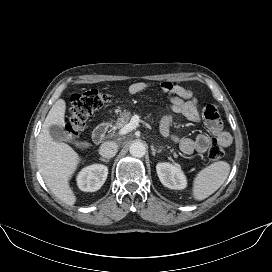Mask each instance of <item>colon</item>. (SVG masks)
<instances>
[{
    "mask_svg": "<svg viewBox=\"0 0 272 272\" xmlns=\"http://www.w3.org/2000/svg\"><path fill=\"white\" fill-rule=\"evenodd\" d=\"M110 101V96L96 89L88 90L81 94H74L71 97V108L68 121L65 126L68 140L75 139L84 129L87 120L91 115L102 108ZM224 156L222 146L213 140L208 150V157L211 161H220Z\"/></svg>",
    "mask_w": 272,
    "mask_h": 272,
    "instance_id": "colon-1",
    "label": "colon"
}]
</instances>
